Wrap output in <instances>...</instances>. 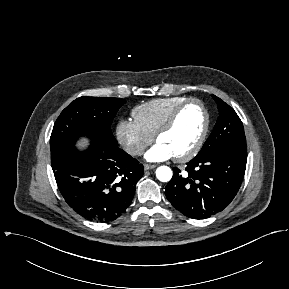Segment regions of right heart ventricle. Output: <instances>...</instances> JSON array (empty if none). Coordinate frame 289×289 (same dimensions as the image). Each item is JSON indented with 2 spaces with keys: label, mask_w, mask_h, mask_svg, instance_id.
<instances>
[{
  "label": "right heart ventricle",
  "mask_w": 289,
  "mask_h": 289,
  "mask_svg": "<svg viewBox=\"0 0 289 289\" xmlns=\"http://www.w3.org/2000/svg\"><path fill=\"white\" fill-rule=\"evenodd\" d=\"M186 99L188 98L183 96H173L142 103L132 110L134 121L145 132L154 136L172 111Z\"/></svg>",
  "instance_id": "obj_1"
}]
</instances>
